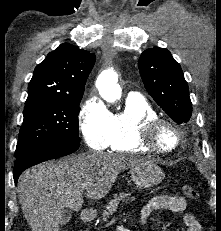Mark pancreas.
Wrapping results in <instances>:
<instances>
[{"instance_id":"pancreas-1","label":"pancreas","mask_w":221,"mask_h":231,"mask_svg":"<svg viewBox=\"0 0 221 231\" xmlns=\"http://www.w3.org/2000/svg\"><path fill=\"white\" fill-rule=\"evenodd\" d=\"M130 193H119L115 194L113 199H111L108 205L105 207V210L102 213V220L105 222L107 219L118 209L119 203L128 202L130 199L134 200V197H130Z\"/></svg>"}]
</instances>
